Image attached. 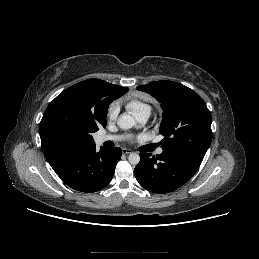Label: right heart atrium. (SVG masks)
Returning a JSON list of instances; mask_svg holds the SVG:
<instances>
[{
  "mask_svg": "<svg viewBox=\"0 0 259 259\" xmlns=\"http://www.w3.org/2000/svg\"><path fill=\"white\" fill-rule=\"evenodd\" d=\"M118 106L116 103H112L108 108V117L114 119L117 115Z\"/></svg>",
  "mask_w": 259,
  "mask_h": 259,
  "instance_id": "1",
  "label": "right heart atrium"
}]
</instances>
